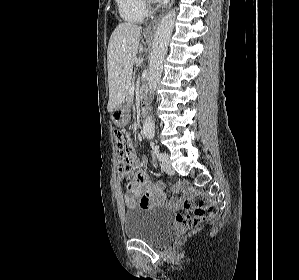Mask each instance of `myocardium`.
Returning <instances> with one entry per match:
<instances>
[{
    "label": "myocardium",
    "instance_id": "f54148a6",
    "mask_svg": "<svg viewBox=\"0 0 299 280\" xmlns=\"http://www.w3.org/2000/svg\"><path fill=\"white\" fill-rule=\"evenodd\" d=\"M144 4L149 7L150 6V0H143Z\"/></svg>",
    "mask_w": 299,
    "mask_h": 280
}]
</instances>
